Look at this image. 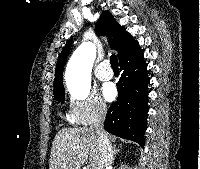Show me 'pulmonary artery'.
I'll list each match as a JSON object with an SVG mask.
<instances>
[{"instance_id":"obj_1","label":"pulmonary artery","mask_w":200,"mask_h":169,"mask_svg":"<svg viewBox=\"0 0 200 169\" xmlns=\"http://www.w3.org/2000/svg\"><path fill=\"white\" fill-rule=\"evenodd\" d=\"M108 62H102L98 65L95 70L96 77L101 81H108L112 79L113 73L111 70L107 69Z\"/></svg>"}]
</instances>
